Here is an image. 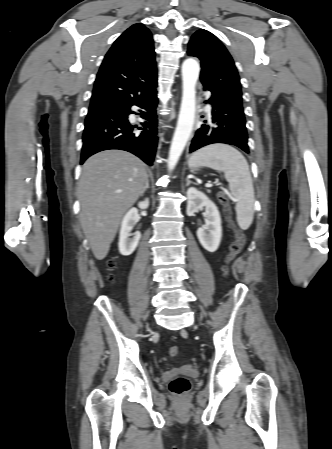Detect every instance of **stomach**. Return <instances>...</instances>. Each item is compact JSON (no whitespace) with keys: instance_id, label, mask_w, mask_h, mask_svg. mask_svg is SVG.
<instances>
[{"instance_id":"obj_1","label":"stomach","mask_w":332,"mask_h":449,"mask_svg":"<svg viewBox=\"0 0 332 449\" xmlns=\"http://www.w3.org/2000/svg\"><path fill=\"white\" fill-rule=\"evenodd\" d=\"M197 169L196 168H191L190 171L191 172H195Z\"/></svg>"}]
</instances>
